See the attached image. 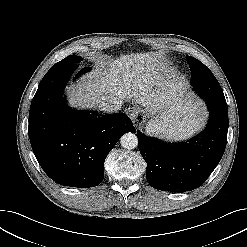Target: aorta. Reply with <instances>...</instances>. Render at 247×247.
Segmentation results:
<instances>
[{
    "mask_svg": "<svg viewBox=\"0 0 247 247\" xmlns=\"http://www.w3.org/2000/svg\"><path fill=\"white\" fill-rule=\"evenodd\" d=\"M120 144L123 148L125 149H134L138 145V139L137 136L134 133H125L121 138H120Z\"/></svg>",
    "mask_w": 247,
    "mask_h": 247,
    "instance_id": "obj_1",
    "label": "aorta"
}]
</instances>
